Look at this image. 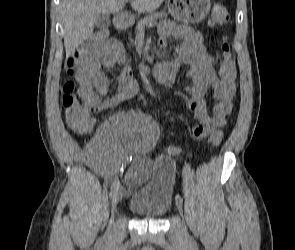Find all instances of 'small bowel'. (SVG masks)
I'll return each instance as SVG.
<instances>
[{"mask_svg":"<svg viewBox=\"0 0 295 250\" xmlns=\"http://www.w3.org/2000/svg\"><path fill=\"white\" fill-rule=\"evenodd\" d=\"M159 33L162 46L171 37L179 40L180 44L171 60L160 61L154 66L155 79L173 88L178 74L185 73L191 84L180 97L196 121L192 136L198 140L207 139L211 145L218 146L223 138L222 129L227 124V116L233 109L235 83L229 84L217 77L216 61L207 53L201 32L188 26L165 23ZM124 61V50L114 39L108 40L99 52L70 54L66 70L79 83L78 95L82 103L96 107L100 113L134 97L138 85L129 71L120 74L115 91L107 96L109 81L102 68H111ZM207 93L213 99L210 110L205 100ZM157 138V126L141 112H124L112 117L98 131L93 143L99 172L108 177L114 170L115 162L133 158L124 182L128 187L140 185L150 173L152 162L148 153ZM179 152L177 147H170L166 155L173 156Z\"/></svg>","mask_w":295,"mask_h":250,"instance_id":"obj_1","label":"small bowel"}]
</instances>
